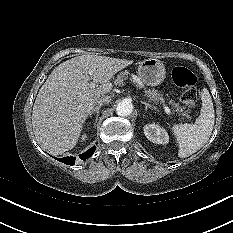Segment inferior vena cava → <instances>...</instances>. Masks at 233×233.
Returning a JSON list of instances; mask_svg holds the SVG:
<instances>
[{
	"instance_id": "602c4592",
	"label": "inferior vena cava",
	"mask_w": 233,
	"mask_h": 233,
	"mask_svg": "<svg viewBox=\"0 0 233 233\" xmlns=\"http://www.w3.org/2000/svg\"><path fill=\"white\" fill-rule=\"evenodd\" d=\"M111 101V97L108 95H105L101 97L99 100L96 101L97 106H102L104 104H108Z\"/></svg>"
}]
</instances>
